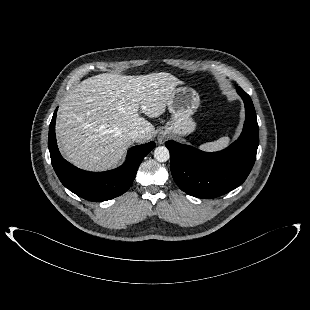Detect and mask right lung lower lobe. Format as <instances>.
Segmentation results:
<instances>
[{"label":"right lung lower lobe","mask_w":310,"mask_h":310,"mask_svg":"<svg viewBox=\"0 0 310 310\" xmlns=\"http://www.w3.org/2000/svg\"><path fill=\"white\" fill-rule=\"evenodd\" d=\"M57 109L49 126L48 147L52 166L62 184L76 195L93 202L106 201L125 193L134 181L143 158L155 147L154 142L132 147L125 163L106 172H88L76 168L60 154L55 136Z\"/></svg>","instance_id":"98d812e1"}]
</instances>
